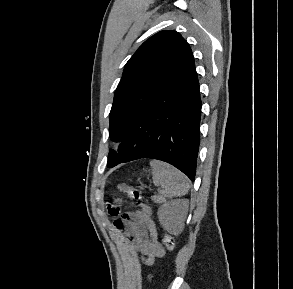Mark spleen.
<instances>
[{"label":"spleen","mask_w":293,"mask_h":289,"mask_svg":"<svg viewBox=\"0 0 293 289\" xmlns=\"http://www.w3.org/2000/svg\"><path fill=\"white\" fill-rule=\"evenodd\" d=\"M155 186H161L160 193L168 198L184 196L188 193L187 177L173 166L158 160L150 162Z\"/></svg>","instance_id":"spleen-1"}]
</instances>
